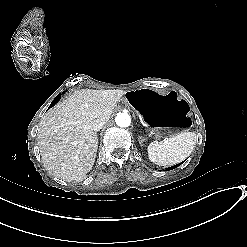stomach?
I'll use <instances>...</instances> for the list:
<instances>
[{"instance_id":"0dacf381","label":"stomach","mask_w":247,"mask_h":247,"mask_svg":"<svg viewBox=\"0 0 247 247\" xmlns=\"http://www.w3.org/2000/svg\"><path fill=\"white\" fill-rule=\"evenodd\" d=\"M126 99L155 138L172 137L186 131L192 124L189 105L174 91L158 92L142 88L128 91Z\"/></svg>"}]
</instances>
